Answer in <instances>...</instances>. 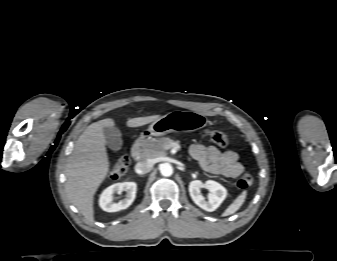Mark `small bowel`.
<instances>
[{
  "label": "small bowel",
  "instance_id": "obj_1",
  "mask_svg": "<svg viewBox=\"0 0 337 261\" xmlns=\"http://www.w3.org/2000/svg\"><path fill=\"white\" fill-rule=\"evenodd\" d=\"M190 155L199 162L203 171L211 175L237 178L244 170L235 151H220L213 145L193 144Z\"/></svg>",
  "mask_w": 337,
  "mask_h": 261
}]
</instances>
